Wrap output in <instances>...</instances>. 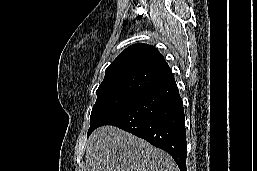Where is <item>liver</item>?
Wrapping results in <instances>:
<instances>
[{
  "label": "liver",
  "instance_id": "liver-1",
  "mask_svg": "<svg viewBox=\"0 0 257 171\" xmlns=\"http://www.w3.org/2000/svg\"><path fill=\"white\" fill-rule=\"evenodd\" d=\"M85 160L86 171H179L168 153L114 126L91 134Z\"/></svg>",
  "mask_w": 257,
  "mask_h": 171
}]
</instances>
